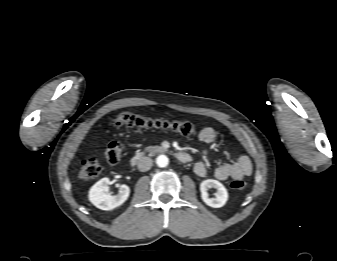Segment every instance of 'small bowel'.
Returning <instances> with one entry per match:
<instances>
[{"label": "small bowel", "instance_id": "obj_1", "mask_svg": "<svg viewBox=\"0 0 337 261\" xmlns=\"http://www.w3.org/2000/svg\"><path fill=\"white\" fill-rule=\"evenodd\" d=\"M204 143H213L217 139V132L211 127L203 128L198 136ZM252 162L246 155H235L232 163H224L216 167L214 176L220 181L228 178L240 179L252 173ZM195 173L200 177L207 175V167L203 162H197L194 166Z\"/></svg>", "mask_w": 337, "mask_h": 261}]
</instances>
